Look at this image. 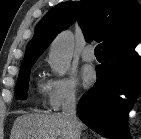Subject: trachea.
<instances>
[{
	"label": "trachea",
	"mask_w": 141,
	"mask_h": 139,
	"mask_svg": "<svg viewBox=\"0 0 141 139\" xmlns=\"http://www.w3.org/2000/svg\"><path fill=\"white\" fill-rule=\"evenodd\" d=\"M95 54H100V44H98L96 47H95Z\"/></svg>",
	"instance_id": "trachea-1"
}]
</instances>
